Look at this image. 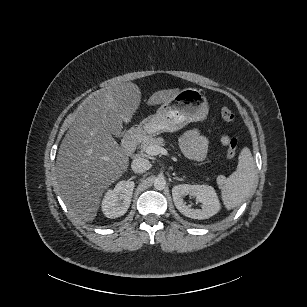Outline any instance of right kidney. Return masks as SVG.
Segmentation results:
<instances>
[{
	"label": "right kidney",
	"mask_w": 307,
	"mask_h": 307,
	"mask_svg": "<svg viewBox=\"0 0 307 307\" xmlns=\"http://www.w3.org/2000/svg\"><path fill=\"white\" fill-rule=\"evenodd\" d=\"M134 189V181L121 180L115 188H108L101 201V211L107 218L119 217L128 210ZM120 197L117 198V193Z\"/></svg>",
	"instance_id": "right-kidney-1"
}]
</instances>
